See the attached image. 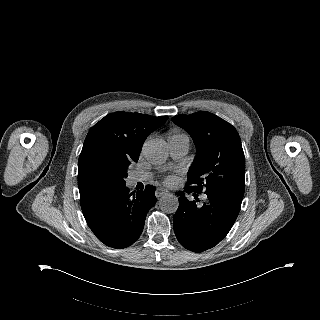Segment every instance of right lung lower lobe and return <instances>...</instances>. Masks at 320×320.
Wrapping results in <instances>:
<instances>
[{
  "label": "right lung lower lobe",
  "mask_w": 320,
  "mask_h": 320,
  "mask_svg": "<svg viewBox=\"0 0 320 320\" xmlns=\"http://www.w3.org/2000/svg\"><path fill=\"white\" fill-rule=\"evenodd\" d=\"M79 191L83 215L92 232L105 245L119 249L139 238L146 214L157 201L151 185L130 193L125 184L96 182Z\"/></svg>",
  "instance_id": "98d812e1"
}]
</instances>
